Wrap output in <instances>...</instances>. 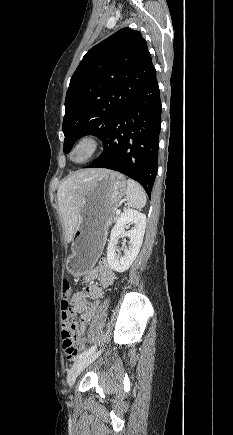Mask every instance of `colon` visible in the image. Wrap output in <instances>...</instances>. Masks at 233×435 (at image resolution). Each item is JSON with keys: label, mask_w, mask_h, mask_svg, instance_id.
I'll use <instances>...</instances> for the list:
<instances>
[{"label": "colon", "mask_w": 233, "mask_h": 435, "mask_svg": "<svg viewBox=\"0 0 233 435\" xmlns=\"http://www.w3.org/2000/svg\"><path fill=\"white\" fill-rule=\"evenodd\" d=\"M72 286L68 280H63L61 285L62 309L71 314L70 295ZM63 349L68 359L74 358L78 354V347L74 341L73 334L70 329H64L62 332Z\"/></svg>", "instance_id": "5ec220e1"}]
</instances>
